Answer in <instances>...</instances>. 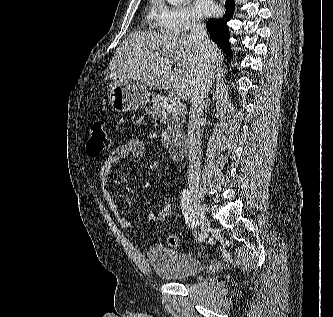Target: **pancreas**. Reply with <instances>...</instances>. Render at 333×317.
<instances>
[{
  "label": "pancreas",
  "mask_w": 333,
  "mask_h": 317,
  "mask_svg": "<svg viewBox=\"0 0 333 317\" xmlns=\"http://www.w3.org/2000/svg\"><path fill=\"white\" fill-rule=\"evenodd\" d=\"M151 102L148 112L152 114L153 119H161V123L165 127L161 134L162 142L165 146H168L171 140L181 134L182 125L186 121L185 115L180 110L177 112L166 111V107L170 103L168 96L155 95Z\"/></svg>",
  "instance_id": "obj_1"
}]
</instances>
